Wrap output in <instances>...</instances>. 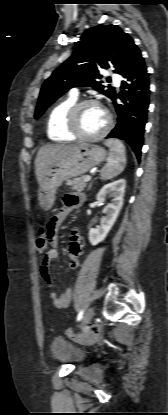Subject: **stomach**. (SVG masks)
Listing matches in <instances>:
<instances>
[{
    "instance_id": "1",
    "label": "stomach",
    "mask_w": 168,
    "mask_h": 415,
    "mask_svg": "<svg viewBox=\"0 0 168 415\" xmlns=\"http://www.w3.org/2000/svg\"><path fill=\"white\" fill-rule=\"evenodd\" d=\"M106 158V151L94 144L85 143L75 153L55 163L47 172L38 190L40 207L48 211L55 201V194L68 179L88 172Z\"/></svg>"
}]
</instances>
